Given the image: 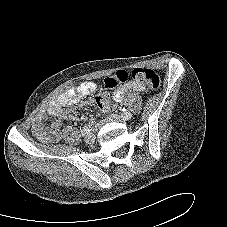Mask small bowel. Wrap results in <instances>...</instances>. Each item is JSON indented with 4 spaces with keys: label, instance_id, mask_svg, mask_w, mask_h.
I'll list each match as a JSON object with an SVG mask.
<instances>
[{
    "label": "small bowel",
    "instance_id": "c3829d8e",
    "mask_svg": "<svg viewBox=\"0 0 227 227\" xmlns=\"http://www.w3.org/2000/svg\"><path fill=\"white\" fill-rule=\"evenodd\" d=\"M95 90V83L85 81L52 98L34 117L32 125L33 133L40 139L57 137L62 124L61 119H74L67 110V107L77 104L81 98L93 94ZM130 91L145 92L146 87L137 81H131L118 87L114 91L113 98L116 102H120L126 93ZM48 116L57 118L52 122V131L50 132L44 126V121Z\"/></svg>",
    "mask_w": 227,
    "mask_h": 227
}]
</instances>
